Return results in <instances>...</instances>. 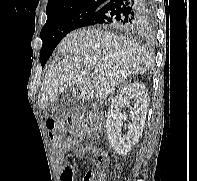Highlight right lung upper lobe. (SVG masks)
Returning a JSON list of instances; mask_svg holds the SVG:
<instances>
[{
  "instance_id": "cb5924a9",
  "label": "right lung upper lobe",
  "mask_w": 197,
  "mask_h": 181,
  "mask_svg": "<svg viewBox=\"0 0 197 181\" xmlns=\"http://www.w3.org/2000/svg\"><path fill=\"white\" fill-rule=\"evenodd\" d=\"M107 1L109 0H49L46 13L50 15L88 4H98L102 6Z\"/></svg>"
}]
</instances>
